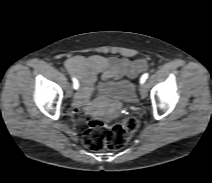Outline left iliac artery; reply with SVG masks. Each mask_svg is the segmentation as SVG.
Returning <instances> with one entry per match:
<instances>
[{"label":"left iliac artery","mask_w":212,"mask_h":183,"mask_svg":"<svg viewBox=\"0 0 212 183\" xmlns=\"http://www.w3.org/2000/svg\"><path fill=\"white\" fill-rule=\"evenodd\" d=\"M149 74L148 73H145L142 75L141 79H140V83H144L146 81V79L148 78Z\"/></svg>","instance_id":"left-iliac-artery-1"}]
</instances>
